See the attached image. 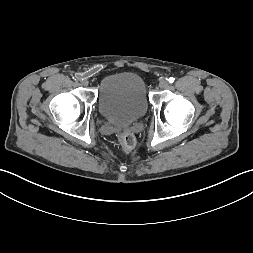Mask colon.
<instances>
[{"label":"colon","mask_w":253,"mask_h":253,"mask_svg":"<svg viewBox=\"0 0 253 253\" xmlns=\"http://www.w3.org/2000/svg\"><path fill=\"white\" fill-rule=\"evenodd\" d=\"M119 143L123 150L130 151L135 147L136 139L133 134L124 132L119 135Z\"/></svg>","instance_id":"colon-1"}]
</instances>
